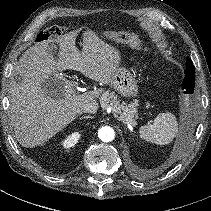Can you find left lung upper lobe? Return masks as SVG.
Returning <instances> with one entry per match:
<instances>
[{"label":"left lung upper lobe","instance_id":"left-lung-upper-lobe-1","mask_svg":"<svg viewBox=\"0 0 211 211\" xmlns=\"http://www.w3.org/2000/svg\"><path fill=\"white\" fill-rule=\"evenodd\" d=\"M194 83H195V68L191 59L187 58V66L185 70V78L183 80L182 87L185 89V93L192 94L194 92Z\"/></svg>","mask_w":211,"mask_h":211}]
</instances>
